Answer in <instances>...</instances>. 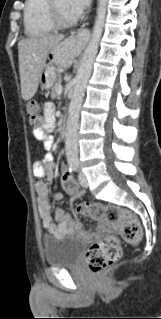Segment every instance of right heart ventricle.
<instances>
[{
    "instance_id": "1",
    "label": "right heart ventricle",
    "mask_w": 161,
    "mask_h": 319,
    "mask_svg": "<svg viewBox=\"0 0 161 319\" xmlns=\"http://www.w3.org/2000/svg\"><path fill=\"white\" fill-rule=\"evenodd\" d=\"M48 2V0H26L24 33L27 37H43L54 30V25L49 16Z\"/></svg>"
}]
</instances>
